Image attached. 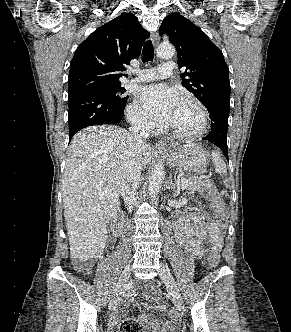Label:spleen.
<instances>
[{
	"label": "spleen",
	"mask_w": 291,
	"mask_h": 332,
	"mask_svg": "<svg viewBox=\"0 0 291 332\" xmlns=\"http://www.w3.org/2000/svg\"><path fill=\"white\" fill-rule=\"evenodd\" d=\"M212 162L215 166L216 172H218L220 175L227 174L226 164L217 151L212 152Z\"/></svg>",
	"instance_id": "1"
}]
</instances>
